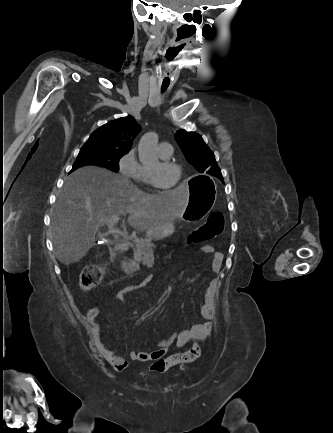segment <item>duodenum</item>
<instances>
[{"label":"duodenum","instance_id":"obj_1","mask_svg":"<svg viewBox=\"0 0 333 433\" xmlns=\"http://www.w3.org/2000/svg\"><path fill=\"white\" fill-rule=\"evenodd\" d=\"M128 260L125 258H121L120 259V262L121 263H124L123 264V267L124 268H138V263H135L137 260L134 258L132 261L134 262V263H126Z\"/></svg>","mask_w":333,"mask_h":433}]
</instances>
